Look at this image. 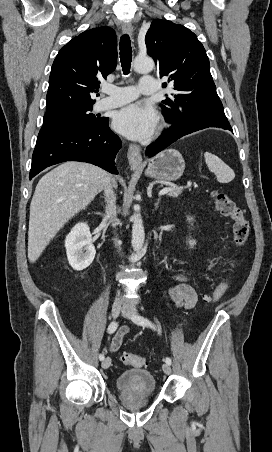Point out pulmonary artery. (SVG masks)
I'll return each mask as SVG.
<instances>
[{
  "label": "pulmonary artery",
  "instance_id": "pulmonary-artery-1",
  "mask_svg": "<svg viewBox=\"0 0 272 452\" xmlns=\"http://www.w3.org/2000/svg\"><path fill=\"white\" fill-rule=\"evenodd\" d=\"M139 88L144 95L155 94L158 90L157 80L154 77H143ZM102 91L107 97L100 99L95 104V109L98 111L122 106L138 97L137 89L134 86L119 87L110 85L104 86Z\"/></svg>",
  "mask_w": 272,
  "mask_h": 452
}]
</instances>
